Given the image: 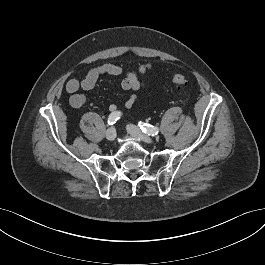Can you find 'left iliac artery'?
I'll return each mask as SVG.
<instances>
[{
	"label": "left iliac artery",
	"mask_w": 265,
	"mask_h": 265,
	"mask_svg": "<svg viewBox=\"0 0 265 265\" xmlns=\"http://www.w3.org/2000/svg\"><path fill=\"white\" fill-rule=\"evenodd\" d=\"M140 129L144 132L147 133L148 135L154 136L159 133V129L157 127H154L150 124L144 123L142 124L139 122Z\"/></svg>",
	"instance_id": "1"
}]
</instances>
